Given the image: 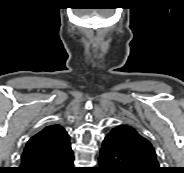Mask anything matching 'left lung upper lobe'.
I'll return each instance as SVG.
<instances>
[{"mask_svg":"<svg viewBox=\"0 0 184 173\" xmlns=\"http://www.w3.org/2000/svg\"><path fill=\"white\" fill-rule=\"evenodd\" d=\"M109 134L114 135L116 145L128 156L137 170L141 173H161L152 144L134 127L118 125Z\"/></svg>","mask_w":184,"mask_h":173,"instance_id":"obj_1","label":"left lung upper lobe"}]
</instances>
